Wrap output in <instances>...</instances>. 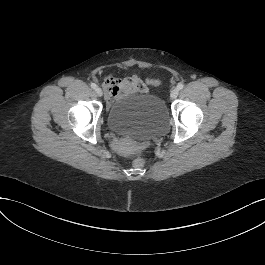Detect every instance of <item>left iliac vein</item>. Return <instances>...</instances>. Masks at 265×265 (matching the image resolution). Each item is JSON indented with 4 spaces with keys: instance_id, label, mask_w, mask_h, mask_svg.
Wrapping results in <instances>:
<instances>
[{
    "instance_id": "obj_1",
    "label": "left iliac vein",
    "mask_w": 265,
    "mask_h": 265,
    "mask_svg": "<svg viewBox=\"0 0 265 265\" xmlns=\"http://www.w3.org/2000/svg\"><path fill=\"white\" fill-rule=\"evenodd\" d=\"M179 94V90L177 88L172 89V91L170 92V98L171 99H175Z\"/></svg>"
}]
</instances>
